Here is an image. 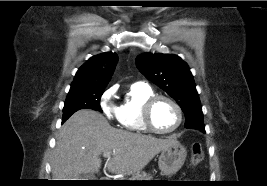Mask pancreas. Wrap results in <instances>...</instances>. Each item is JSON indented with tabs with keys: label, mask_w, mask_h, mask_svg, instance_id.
<instances>
[{
	"label": "pancreas",
	"mask_w": 267,
	"mask_h": 186,
	"mask_svg": "<svg viewBox=\"0 0 267 186\" xmlns=\"http://www.w3.org/2000/svg\"><path fill=\"white\" fill-rule=\"evenodd\" d=\"M152 175L147 174L145 172L142 173H136L132 176V180H137V181H152Z\"/></svg>",
	"instance_id": "pancreas-1"
}]
</instances>
